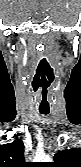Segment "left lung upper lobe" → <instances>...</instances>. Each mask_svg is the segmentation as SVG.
<instances>
[{
    "instance_id": "1",
    "label": "left lung upper lobe",
    "mask_w": 81,
    "mask_h": 167,
    "mask_svg": "<svg viewBox=\"0 0 81 167\" xmlns=\"http://www.w3.org/2000/svg\"><path fill=\"white\" fill-rule=\"evenodd\" d=\"M50 167H81V149L71 148L59 151Z\"/></svg>"
}]
</instances>
